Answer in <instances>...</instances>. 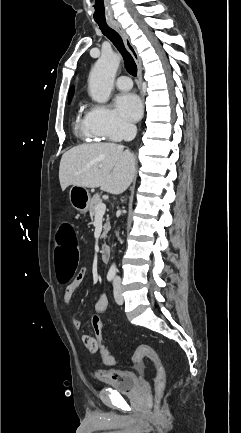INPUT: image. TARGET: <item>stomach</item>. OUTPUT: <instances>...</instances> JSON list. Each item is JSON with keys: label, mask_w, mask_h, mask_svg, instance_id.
<instances>
[{"label": "stomach", "mask_w": 241, "mask_h": 433, "mask_svg": "<svg viewBox=\"0 0 241 433\" xmlns=\"http://www.w3.org/2000/svg\"><path fill=\"white\" fill-rule=\"evenodd\" d=\"M70 203L77 211L86 213L91 201L88 190L80 186H72L69 191Z\"/></svg>", "instance_id": "stomach-1"}]
</instances>
